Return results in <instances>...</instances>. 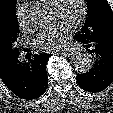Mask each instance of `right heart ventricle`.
Returning <instances> with one entry per match:
<instances>
[{"label":"right heart ventricle","instance_id":"1","mask_svg":"<svg viewBox=\"0 0 113 113\" xmlns=\"http://www.w3.org/2000/svg\"><path fill=\"white\" fill-rule=\"evenodd\" d=\"M42 3H45L47 5L53 6L56 0H39Z\"/></svg>","mask_w":113,"mask_h":113}]
</instances>
